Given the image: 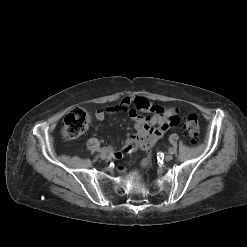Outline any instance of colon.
<instances>
[{
    "label": "colon",
    "mask_w": 247,
    "mask_h": 247,
    "mask_svg": "<svg viewBox=\"0 0 247 247\" xmlns=\"http://www.w3.org/2000/svg\"><path fill=\"white\" fill-rule=\"evenodd\" d=\"M90 122V114L83 108H75L64 118L61 129L62 136L66 140L78 138L87 129ZM183 127L193 143H196L200 136V126L198 116L189 113L184 117Z\"/></svg>",
    "instance_id": "colon-1"
}]
</instances>
